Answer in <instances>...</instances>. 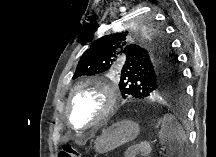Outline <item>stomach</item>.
I'll use <instances>...</instances> for the list:
<instances>
[{"instance_id":"0dacf381","label":"stomach","mask_w":216,"mask_h":157,"mask_svg":"<svg viewBox=\"0 0 216 157\" xmlns=\"http://www.w3.org/2000/svg\"><path fill=\"white\" fill-rule=\"evenodd\" d=\"M139 134V125L133 121L124 120L104 129L95 141V149L106 153L135 139Z\"/></svg>"}]
</instances>
